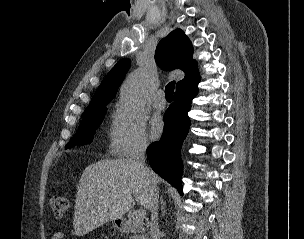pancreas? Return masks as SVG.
Returning <instances> with one entry per match:
<instances>
[{"label": "pancreas", "instance_id": "cf45deb5", "mask_svg": "<svg viewBox=\"0 0 304 239\" xmlns=\"http://www.w3.org/2000/svg\"><path fill=\"white\" fill-rule=\"evenodd\" d=\"M142 225H143L142 221H139V222L134 221L132 223L133 233L136 234L137 232H140L142 229ZM132 239H135V237L133 236Z\"/></svg>", "mask_w": 304, "mask_h": 239}]
</instances>
